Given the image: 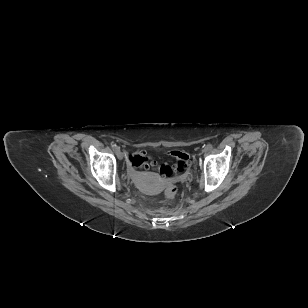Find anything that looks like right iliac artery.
<instances>
[{"mask_svg":"<svg viewBox=\"0 0 308 308\" xmlns=\"http://www.w3.org/2000/svg\"><path fill=\"white\" fill-rule=\"evenodd\" d=\"M112 148L114 149V150H117L118 149V147H117V145H112Z\"/></svg>","mask_w":308,"mask_h":308,"instance_id":"right-iliac-artery-1","label":"right iliac artery"}]
</instances>
